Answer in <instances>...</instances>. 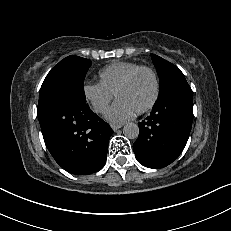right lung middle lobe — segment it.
<instances>
[{
    "label": "right lung middle lobe",
    "mask_w": 231,
    "mask_h": 231,
    "mask_svg": "<svg viewBox=\"0 0 231 231\" xmlns=\"http://www.w3.org/2000/svg\"><path fill=\"white\" fill-rule=\"evenodd\" d=\"M91 64L90 60L79 56H68L61 60L48 73L41 86L38 107L62 95L86 101L83 84Z\"/></svg>",
    "instance_id": "obj_1"
}]
</instances>
